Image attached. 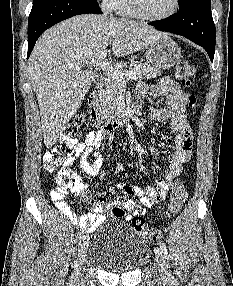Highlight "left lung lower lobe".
<instances>
[{"instance_id": "obj_1", "label": "left lung lower lobe", "mask_w": 233, "mask_h": 286, "mask_svg": "<svg viewBox=\"0 0 233 286\" xmlns=\"http://www.w3.org/2000/svg\"><path fill=\"white\" fill-rule=\"evenodd\" d=\"M150 25L162 30L182 35L203 47L210 60L215 53V25L211 14L210 0H193L178 14L166 19L152 21Z\"/></svg>"}]
</instances>
